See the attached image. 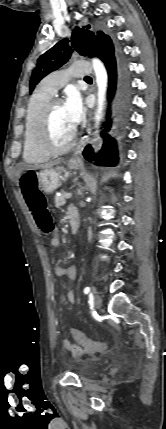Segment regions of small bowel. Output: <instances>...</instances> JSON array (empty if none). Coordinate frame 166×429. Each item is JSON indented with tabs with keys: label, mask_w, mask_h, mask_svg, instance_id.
Listing matches in <instances>:
<instances>
[{
	"label": "small bowel",
	"mask_w": 166,
	"mask_h": 429,
	"mask_svg": "<svg viewBox=\"0 0 166 429\" xmlns=\"http://www.w3.org/2000/svg\"><path fill=\"white\" fill-rule=\"evenodd\" d=\"M71 211H76V209L74 207H70L68 213H70ZM59 245L60 240L57 235H54L50 240V246L53 248H57L59 247ZM53 271L54 274L58 277H67L70 281H75L77 279L78 271L77 267L74 265L69 267L56 266L54 267ZM67 298L70 303H74L75 299L72 291H69L67 293ZM62 345L68 350H70L75 356H80L83 353V349L80 346L73 345L68 340H62Z\"/></svg>",
	"instance_id": "1"
}]
</instances>
